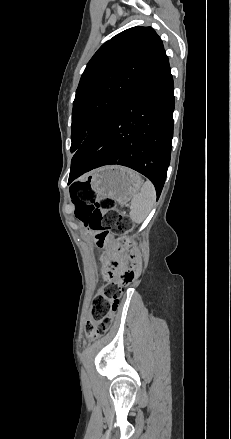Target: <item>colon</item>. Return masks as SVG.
Wrapping results in <instances>:
<instances>
[{"label":"colon","mask_w":231,"mask_h":439,"mask_svg":"<svg viewBox=\"0 0 231 439\" xmlns=\"http://www.w3.org/2000/svg\"><path fill=\"white\" fill-rule=\"evenodd\" d=\"M71 196L76 203V215L91 231L97 233L98 242H105L109 232L126 233L134 228L132 218L115 208L111 198H97V192L87 182L71 187ZM128 259L130 266L120 273V261ZM139 255L130 241L123 240V248L118 250L108 262V274L103 291L97 294L91 307L87 324L89 338L100 336L109 329L112 313L120 300L122 287L135 281L138 272Z\"/></svg>","instance_id":"obj_1"}]
</instances>
